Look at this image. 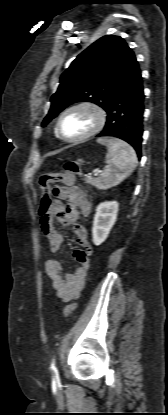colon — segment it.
Segmentation results:
<instances>
[{
    "mask_svg": "<svg viewBox=\"0 0 168 415\" xmlns=\"http://www.w3.org/2000/svg\"><path fill=\"white\" fill-rule=\"evenodd\" d=\"M81 175V168L75 162H67L64 165V171L61 173L46 174L40 177L39 183L42 189V197L39 209L40 220L45 226H48L55 219V209L51 201L53 189L50 183H63L66 186L73 185L77 176ZM78 307V303L67 305L63 310V316L68 317Z\"/></svg>",
    "mask_w": 168,
    "mask_h": 415,
    "instance_id": "5ec220e1",
    "label": "colon"
}]
</instances>
